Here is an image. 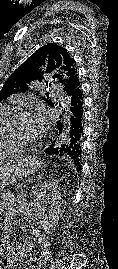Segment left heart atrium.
Here are the masks:
<instances>
[{"label":"left heart atrium","mask_w":118,"mask_h":269,"mask_svg":"<svg viewBox=\"0 0 118 269\" xmlns=\"http://www.w3.org/2000/svg\"><path fill=\"white\" fill-rule=\"evenodd\" d=\"M30 116L36 126L39 134H43L48 125V116L45 109L41 106H35L30 111Z\"/></svg>","instance_id":"39dd6f15"}]
</instances>
